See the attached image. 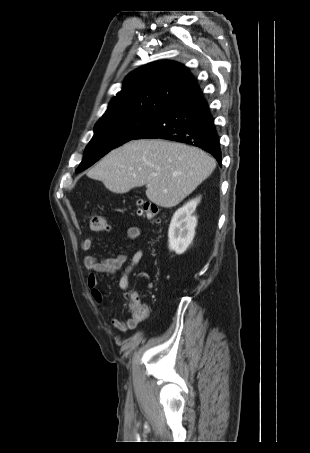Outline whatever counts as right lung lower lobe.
Returning a JSON list of instances; mask_svg holds the SVG:
<instances>
[{
	"label": "right lung lower lobe",
	"instance_id": "1",
	"mask_svg": "<svg viewBox=\"0 0 310 453\" xmlns=\"http://www.w3.org/2000/svg\"><path fill=\"white\" fill-rule=\"evenodd\" d=\"M162 138L199 147L221 165L219 136L207 101L200 88L182 97L136 139Z\"/></svg>",
	"mask_w": 310,
	"mask_h": 453
}]
</instances>
